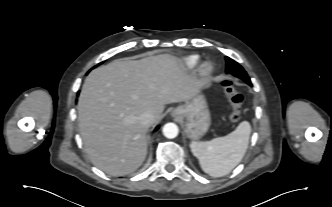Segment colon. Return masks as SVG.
I'll return each mask as SVG.
<instances>
[{
    "label": "colon",
    "instance_id": "1",
    "mask_svg": "<svg viewBox=\"0 0 332 207\" xmlns=\"http://www.w3.org/2000/svg\"><path fill=\"white\" fill-rule=\"evenodd\" d=\"M222 85L231 106V112L229 113L228 118L231 122H236L241 117L244 105V96L236 90L232 79H224Z\"/></svg>",
    "mask_w": 332,
    "mask_h": 207
}]
</instances>
